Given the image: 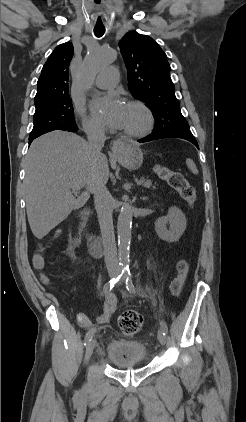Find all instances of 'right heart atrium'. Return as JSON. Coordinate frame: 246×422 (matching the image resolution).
Instances as JSON below:
<instances>
[{"label":"right heart atrium","mask_w":246,"mask_h":422,"mask_svg":"<svg viewBox=\"0 0 246 422\" xmlns=\"http://www.w3.org/2000/svg\"><path fill=\"white\" fill-rule=\"evenodd\" d=\"M84 131L90 136H101L104 134V128L96 121L89 118L81 109L77 110Z\"/></svg>","instance_id":"d8ad5b80"}]
</instances>
